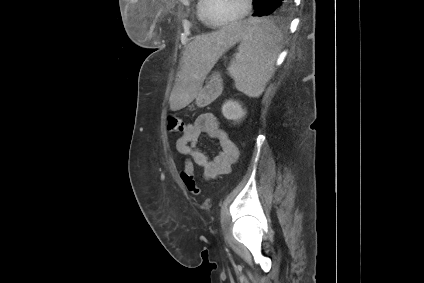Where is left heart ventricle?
<instances>
[{
	"instance_id": "left-heart-ventricle-1",
	"label": "left heart ventricle",
	"mask_w": 424,
	"mask_h": 283,
	"mask_svg": "<svg viewBox=\"0 0 424 283\" xmlns=\"http://www.w3.org/2000/svg\"><path fill=\"white\" fill-rule=\"evenodd\" d=\"M244 8V0H210L209 19L213 23H222L239 16Z\"/></svg>"
}]
</instances>
